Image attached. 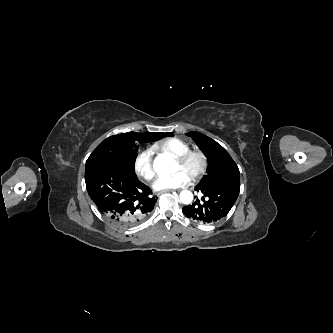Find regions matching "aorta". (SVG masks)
<instances>
[{"mask_svg":"<svg viewBox=\"0 0 333 333\" xmlns=\"http://www.w3.org/2000/svg\"><path fill=\"white\" fill-rule=\"evenodd\" d=\"M176 162L173 158L159 155L155 158L153 168L158 175H169L174 172ZM193 200V194L190 191L184 190L180 193V201L183 204H190Z\"/></svg>","mask_w":333,"mask_h":333,"instance_id":"obj_1","label":"aorta"}]
</instances>
